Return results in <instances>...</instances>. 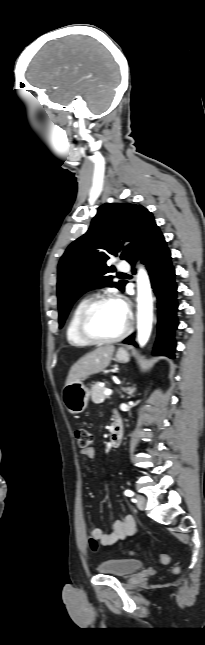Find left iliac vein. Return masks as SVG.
I'll use <instances>...</instances> for the list:
<instances>
[{
    "instance_id": "4c4485c4",
    "label": "left iliac vein",
    "mask_w": 205,
    "mask_h": 645,
    "mask_svg": "<svg viewBox=\"0 0 205 645\" xmlns=\"http://www.w3.org/2000/svg\"><path fill=\"white\" fill-rule=\"evenodd\" d=\"M136 505H137L138 509L144 510L145 507H146V499H145V497H143L141 495L136 496Z\"/></svg>"
}]
</instances>
